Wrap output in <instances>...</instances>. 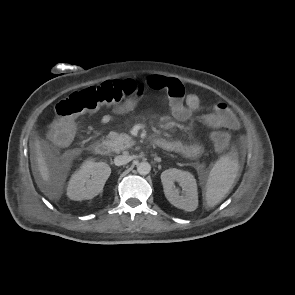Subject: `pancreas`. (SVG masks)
<instances>
[{"instance_id": "pancreas-1", "label": "pancreas", "mask_w": 295, "mask_h": 295, "mask_svg": "<svg viewBox=\"0 0 295 295\" xmlns=\"http://www.w3.org/2000/svg\"><path fill=\"white\" fill-rule=\"evenodd\" d=\"M107 141L109 142L111 149L116 153L130 148L135 143L129 135L125 133L119 134L113 131L107 135Z\"/></svg>"}]
</instances>
